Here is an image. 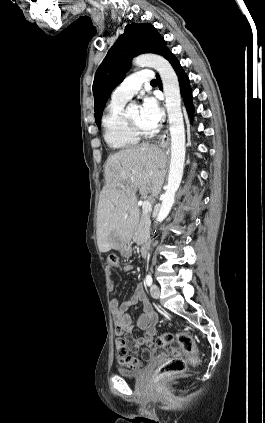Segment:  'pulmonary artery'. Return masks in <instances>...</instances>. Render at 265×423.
<instances>
[{
  "label": "pulmonary artery",
  "mask_w": 265,
  "mask_h": 423,
  "mask_svg": "<svg viewBox=\"0 0 265 423\" xmlns=\"http://www.w3.org/2000/svg\"><path fill=\"white\" fill-rule=\"evenodd\" d=\"M154 75L151 70H139L130 75L113 92L112 99L117 101L130 100L141 88L142 84L151 82Z\"/></svg>",
  "instance_id": "1"
}]
</instances>
